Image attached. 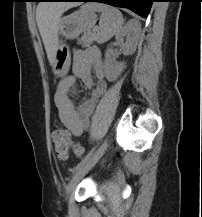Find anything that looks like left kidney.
<instances>
[{"label": "left kidney", "mask_w": 202, "mask_h": 217, "mask_svg": "<svg viewBox=\"0 0 202 217\" xmlns=\"http://www.w3.org/2000/svg\"><path fill=\"white\" fill-rule=\"evenodd\" d=\"M140 25L136 21H129L121 31L116 35V41L121 46L123 54L132 55L138 44V36ZM126 37V42H123V37ZM124 62H116L112 57V49L108 48L105 53L104 73L108 81H115L125 69Z\"/></svg>", "instance_id": "5707ae66"}]
</instances>
